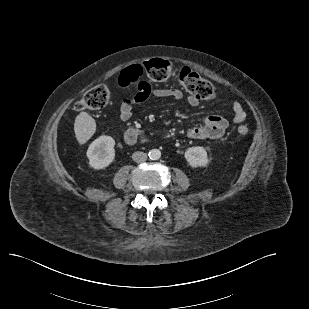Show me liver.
<instances>
[{
  "label": "liver",
  "mask_w": 309,
  "mask_h": 309,
  "mask_svg": "<svg viewBox=\"0 0 309 309\" xmlns=\"http://www.w3.org/2000/svg\"><path fill=\"white\" fill-rule=\"evenodd\" d=\"M96 122L86 112L79 113L75 118L74 132L80 145L85 144L95 133Z\"/></svg>",
  "instance_id": "6515ba94"
}]
</instances>
